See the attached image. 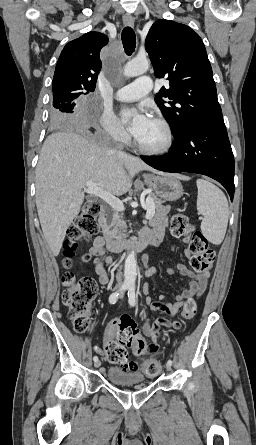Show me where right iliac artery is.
<instances>
[{
    "mask_svg": "<svg viewBox=\"0 0 256 445\" xmlns=\"http://www.w3.org/2000/svg\"><path fill=\"white\" fill-rule=\"evenodd\" d=\"M128 288H129L128 285H126V284L122 285V287L120 288L119 291L114 292V293H112V294L110 295V297H109V303H110V304H115V303L117 302V300H118L120 294H122V293H123L125 290H127ZM93 360H94V362H96V361L98 360V357H97V356H94V357H93Z\"/></svg>",
    "mask_w": 256,
    "mask_h": 445,
    "instance_id": "obj_1",
    "label": "right iliac artery"
}]
</instances>
